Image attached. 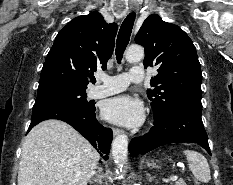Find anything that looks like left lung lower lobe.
Returning a JSON list of instances; mask_svg holds the SVG:
<instances>
[{
    "instance_id": "obj_1",
    "label": "left lung lower lobe",
    "mask_w": 233,
    "mask_h": 185,
    "mask_svg": "<svg viewBox=\"0 0 233 185\" xmlns=\"http://www.w3.org/2000/svg\"><path fill=\"white\" fill-rule=\"evenodd\" d=\"M201 114V97L182 100L164 119L154 121L147 134L133 138L129 152L132 155L144 154L165 144L191 142L199 144L211 155Z\"/></svg>"
}]
</instances>
